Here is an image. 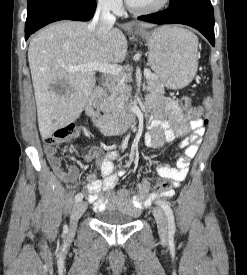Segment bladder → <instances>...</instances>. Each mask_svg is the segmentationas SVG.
Here are the masks:
<instances>
[{
    "label": "bladder",
    "instance_id": "31cf9c89",
    "mask_svg": "<svg viewBox=\"0 0 247 275\" xmlns=\"http://www.w3.org/2000/svg\"><path fill=\"white\" fill-rule=\"evenodd\" d=\"M98 222L110 226L129 225L136 221L135 215L118 209L106 208L97 211Z\"/></svg>",
    "mask_w": 247,
    "mask_h": 275
}]
</instances>
